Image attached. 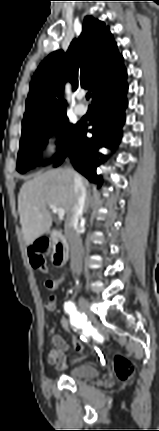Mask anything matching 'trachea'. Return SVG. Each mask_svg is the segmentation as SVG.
Returning <instances> with one entry per match:
<instances>
[{
    "instance_id": "3493384b",
    "label": "trachea",
    "mask_w": 159,
    "mask_h": 431,
    "mask_svg": "<svg viewBox=\"0 0 159 431\" xmlns=\"http://www.w3.org/2000/svg\"><path fill=\"white\" fill-rule=\"evenodd\" d=\"M90 96H91V94L90 93H87L86 94V99L88 100V99H90Z\"/></svg>"
}]
</instances>
